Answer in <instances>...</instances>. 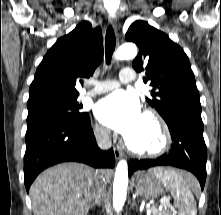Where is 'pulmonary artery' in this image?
I'll return each instance as SVG.
<instances>
[{
    "mask_svg": "<svg viewBox=\"0 0 221 215\" xmlns=\"http://www.w3.org/2000/svg\"><path fill=\"white\" fill-rule=\"evenodd\" d=\"M136 80V75L132 69L124 68L120 72L119 80L108 79L96 85V87L85 93V96L91 97L98 94L110 92L120 86L121 83H132Z\"/></svg>",
    "mask_w": 221,
    "mask_h": 215,
    "instance_id": "e3ab8cb5",
    "label": "pulmonary artery"
}]
</instances>
